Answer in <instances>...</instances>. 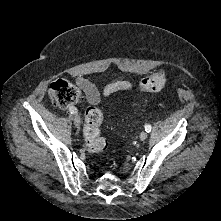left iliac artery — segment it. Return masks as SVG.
Returning <instances> with one entry per match:
<instances>
[{"label":"left iliac artery","mask_w":221,"mask_h":221,"mask_svg":"<svg viewBox=\"0 0 221 221\" xmlns=\"http://www.w3.org/2000/svg\"><path fill=\"white\" fill-rule=\"evenodd\" d=\"M151 130H152V126L149 125V124H147V125L145 126V131H146V132H150Z\"/></svg>","instance_id":"obj_1"}]
</instances>
